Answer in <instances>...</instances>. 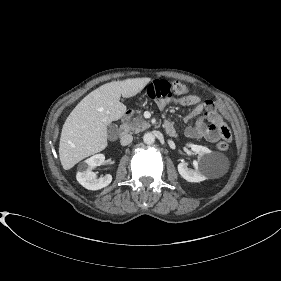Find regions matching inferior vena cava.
I'll use <instances>...</instances> for the list:
<instances>
[{
	"mask_svg": "<svg viewBox=\"0 0 281 281\" xmlns=\"http://www.w3.org/2000/svg\"><path fill=\"white\" fill-rule=\"evenodd\" d=\"M133 136L131 134H124L121 136L120 143L121 145L125 146L132 142Z\"/></svg>",
	"mask_w": 281,
	"mask_h": 281,
	"instance_id": "inferior-vena-cava-1",
	"label": "inferior vena cava"
}]
</instances>
